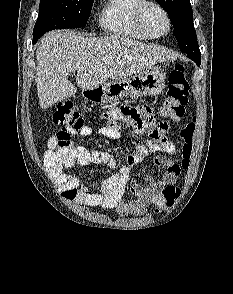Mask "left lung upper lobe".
Masks as SVG:
<instances>
[{
	"label": "left lung upper lobe",
	"instance_id": "1",
	"mask_svg": "<svg viewBox=\"0 0 233 294\" xmlns=\"http://www.w3.org/2000/svg\"><path fill=\"white\" fill-rule=\"evenodd\" d=\"M168 14L181 52L200 65V50L190 0H155Z\"/></svg>",
	"mask_w": 233,
	"mask_h": 294
}]
</instances>
